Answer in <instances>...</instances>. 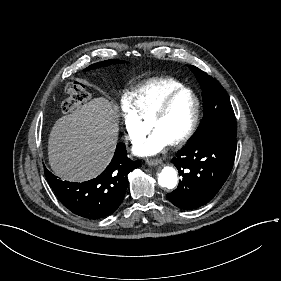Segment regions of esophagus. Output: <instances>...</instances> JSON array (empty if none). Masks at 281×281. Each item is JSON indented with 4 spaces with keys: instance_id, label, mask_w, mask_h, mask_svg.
<instances>
[{
    "instance_id": "1",
    "label": "esophagus",
    "mask_w": 281,
    "mask_h": 281,
    "mask_svg": "<svg viewBox=\"0 0 281 281\" xmlns=\"http://www.w3.org/2000/svg\"><path fill=\"white\" fill-rule=\"evenodd\" d=\"M162 161L159 159H153V160H148L147 163L150 166H157L158 164H160Z\"/></svg>"
}]
</instances>
